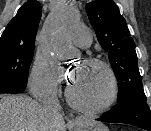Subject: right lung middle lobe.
<instances>
[{
    "label": "right lung middle lobe",
    "instance_id": "obj_1",
    "mask_svg": "<svg viewBox=\"0 0 151 131\" xmlns=\"http://www.w3.org/2000/svg\"><path fill=\"white\" fill-rule=\"evenodd\" d=\"M34 45L0 43V93H21L27 85Z\"/></svg>",
    "mask_w": 151,
    "mask_h": 131
}]
</instances>
